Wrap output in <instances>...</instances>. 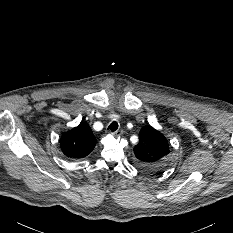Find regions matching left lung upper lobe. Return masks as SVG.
Returning a JSON list of instances; mask_svg holds the SVG:
<instances>
[{
  "instance_id": "left-lung-upper-lobe-1",
  "label": "left lung upper lobe",
  "mask_w": 233,
  "mask_h": 233,
  "mask_svg": "<svg viewBox=\"0 0 233 233\" xmlns=\"http://www.w3.org/2000/svg\"><path fill=\"white\" fill-rule=\"evenodd\" d=\"M139 143L134 147L138 166L149 173H158L167 166L166 155L170 153L166 138L151 126L141 129Z\"/></svg>"
}]
</instances>
